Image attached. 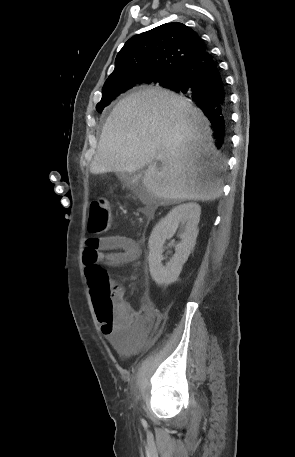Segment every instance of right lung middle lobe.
Listing matches in <instances>:
<instances>
[{"label": "right lung middle lobe", "mask_w": 295, "mask_h": 457, "mask_svg": "<svg viewBox=\"0 0 295 457\" xmlns=\"http://www.w3.org/2000/svg\"><path fill=\"white\" fill-rule=\"evenodd\" d=\"M175 77L176 76L163 78L160 81L159 85L164 87V88H166L167 86H169L175 80ZM129 87H130L129 84H125V85H121V86H118V87H115V88H108L106 90H102V99L96 106L97 111L99 113H101L102 110L107 105H109L117 96H119L120 94H122L125 91H127V89Z\"/></svg>", "instance_id": "right-lung-middle-lobe-1"}]
</instances>
